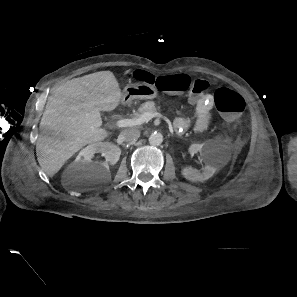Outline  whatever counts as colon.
Instances as JSON below:
<instances>
[{
  "mask_svg": "<svg viewBox=\"0 0 297 297\" xmlns=\"http://www.w3.org/2000/svg\"><path fill=\"white\" fill-rule=\"evenodd\" d=\"M137 80L145 81L154 85L158 90L171 94L188 93L191 98L204 96L209 90V83L203 79H191L186 75L158 76L146 71H136L133 74ZM214 104L217 110L224 116L233 128H236L245 108L243 98L228 88H219L214 93ZM242 145V141L239 146Z\"/></svg>",
  "mask_w": 297,
  "mask_h": 297,
  "instance_id": "1",
  "label": "colon"
}]
</instances>
